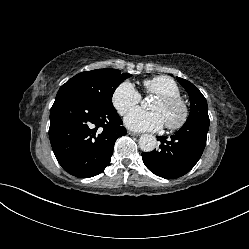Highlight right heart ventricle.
Instances as JSON below:
<instances>
[{
  "mask_svg": "<svg viewBox=\"0 0 249 249\" xmlns=\"http://www.w3.org/2000/svg\"><path fill=\"white\" fill-rule=\"evenodd\" d=\"M147 94L160 96H180L181 91L175 80L168 76L160 75L146 79L142 83Z\"/></svg>",
  "mask_w": 249,
  "mask_h": 249,
  "instance_id": "right-heart-ventricle-1",
  "label": "right heart ventricle"
}]
</instances>
